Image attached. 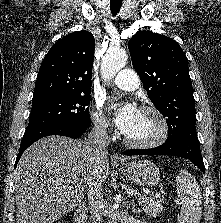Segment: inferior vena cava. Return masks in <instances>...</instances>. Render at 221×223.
<instances>
[{
    "mask_svg": "<svg viewBox=\"0 0 221 223\" xmlns=\"http://www.w3.org/2000/svg\"><path fill=\"white\" fill-rule=\"evenodd\" d=\"M107 128L108 125L106 123L97 122L89 133L88 138L85 139V146L92 162L93 170L87 189L89 223H100L101 220V207L103 202L102 182L97 173L100 166V160L105 153L104 149L110 142Z\"/></svg>",
    "mask_w": 221,
    "mask_h": 223,
    "instance_id": "602c4592",
    "label": "inferior vena cava"
}]
</instances>
